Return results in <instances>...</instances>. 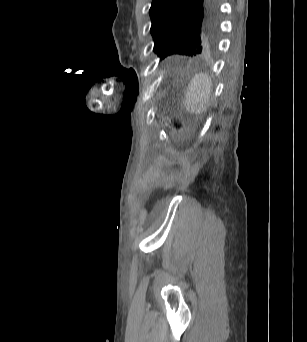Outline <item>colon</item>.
Wrapping results in <instances>:
<instances>
[{"instance_id": "obj_1", "label": "colon", "mask_w": 307, "mask_h": 342, "mask_svg": "<svg viewBox=\"0 0 307 342\" xmlns=\"http://www.w3.org/2000/svg\"><path fill=\"white\" fill-rule=\"evenodd\" d=\"M161 94H168L169 88L168 87H161L160 88ZM159 123L162 125H166L171 127L174 131H180L183 127L182 123L178 121L176 118H161Z\"/></svg>"}]
</instances>
